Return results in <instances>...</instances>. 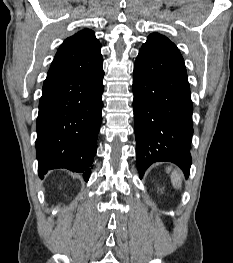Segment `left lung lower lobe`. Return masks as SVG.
I'll return each mask as SVG.
<instances>
[{"mask_svg":"<svg viewBox=\"0 0 233 263\" xmlns=\"http://www.w3.org/2000/svg\"><path fill=\"white\" fill-rule=\"evenodd\" d=\"M132 90L140 176L152 163L170 161L188 178L193 105L184 60L174 43L147 39L136 58Z\"/></svg>","mask_w":233,"mask_h":263,"instance_id":"left-lung-lower-lobe-1","label":"left lung lower lobe"}]
</instances>
